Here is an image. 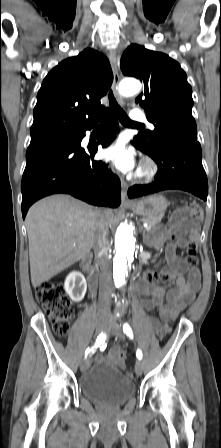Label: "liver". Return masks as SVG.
I'll return each mask as SVG.
<instances>
[{
  "mask_svg": "<svg viewBox=\"0 0 221 448\" xmlns=\"http://www.w3.org/2000/svg\"><path fill=\"white\" fill-rule=\"evenodd\" d=\"M97 211L68 195L49 196L31 206L26 227L34 288L89 254L95 237ZM103 214L111 227L113 211L105 209Z\"/></svg>",
  "mask_w": 221,
  "mask_h": 448,
  "instance_id": "liver-1",
  "label": "liver"
}]
</instances>
